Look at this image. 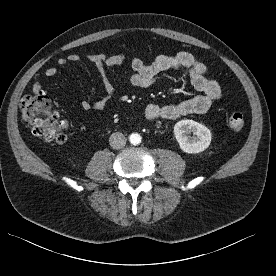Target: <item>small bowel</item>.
<instances>
[{
  "instance_id": "1",
  "label": "small bowel",
  "mask_w": 276,
  "mask_h": 276,
  "mask_svg": "<svg viewBox=\"0 0 276 276\" xmlns=\"http://www.w3.org/2000/svg\"><path fill=\"white\" fill-rule=\"evenodd\" d=\"M85 61L96 67L102 79L104 95L96 100H82L81 107L84 110H98L105 108L117 92V85L112 82L107 71H112L126 61L122 54H85L70 53L67 56L57 58V66H49L45 69L46 77H54L58 73V67H64L69 63ZM134 73L129 78V83L138 88L153 86L158 75L168 70H186L189 74L192 86L201 94L182 102L170 105L150 104L145 108V117L149 121L159 119L173 120L187 114H200L209 110L212 104L220 97L221 87L212 79L206 77V66L195 59L188 52H178L174 55H157L151 62L145 63L141 58L134 57L131 60ZM34 94L44 91L41 82L36 81L32 85Z\"/></svg>"
}]
</instances>
